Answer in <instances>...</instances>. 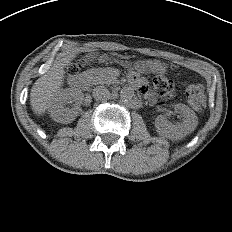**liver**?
Here are the masks:
<instances>
[{
	"label": "liver",
	"instance_id": "1",
	"mask_svg": "<svg viewBox=\"0 0 232 232\" xmlns=\"http://www.w3.org/2000/svg\"><path fill=\"white\" fill-rule=\"evenodd\" d=\"M69 61L70 57H66L55 62L49 71L38 78L32 86L30 104L35 114L43 115L49 108L50 101L63 84L64 68Z\"/></svg>",
	"mask_w": 232,
	"mask_h": 232
}]
</instances>
